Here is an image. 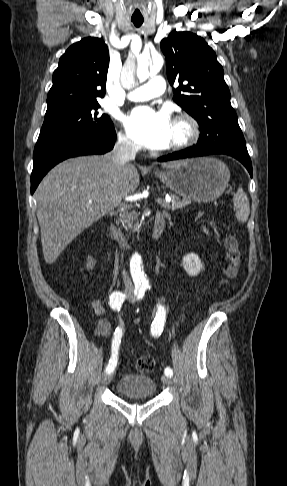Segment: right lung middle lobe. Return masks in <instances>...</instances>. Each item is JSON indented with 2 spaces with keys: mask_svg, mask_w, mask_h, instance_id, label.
<instances>
[{
  "mask_svg": "<svg viewBox=\"0 0 287 486\" xmlns=\"http://www.w3.org/2000/svg\"><path fill=\"white\" fill-rule=\"evenodd\" d=\"M100 109L98 99L48 107L37 142L92 137L107 131L113 124Z\"/></svg>",
  "mask_w": 287,
  "mask_h": 486,
  "instance_id": "dd1d6c3e",
  "label": "right lung middle lobe"
}]
</instances>
